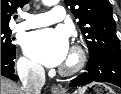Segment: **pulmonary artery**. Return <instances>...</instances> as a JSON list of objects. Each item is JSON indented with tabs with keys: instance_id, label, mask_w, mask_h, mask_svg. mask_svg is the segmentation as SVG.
<instances>
[{
	"instance_id": "obj_1",
	"label": "pulmonary artery",
	"mask_w": 121,
	"mask_h": 94,
	"mask_svg": "<svg viewBox=\"0 0 121 94\" xmlns=\"http://www.w3.org/2000/svg\"><path fill=\"white\" fill-rule=\"evenodd\" d=\"M21 17L23 21L15 25V31L43 27L63 21L66 17V11L63 6L57 5L50 12L38 14L22 13Z\"/></svg>"
}]
</instances>
